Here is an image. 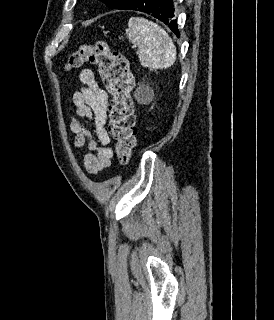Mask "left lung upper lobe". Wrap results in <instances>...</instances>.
<instances>
[{"label": "left lung upper lobe", "instance_id": "1", "mask_svg": "<svg viewBox=\"0 0 274 320\" xmlns=\"http://www.w3.org/2000/svg\"><path fill=\"white\" fill-rule=\"evenodd\" d=\"M103 1L110 9H123L133 0H101Z\"/></svg>", "mask_w": 274, "mask_h": 320}]
</instances>
